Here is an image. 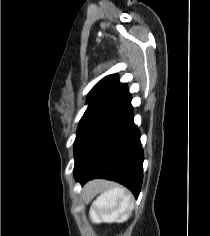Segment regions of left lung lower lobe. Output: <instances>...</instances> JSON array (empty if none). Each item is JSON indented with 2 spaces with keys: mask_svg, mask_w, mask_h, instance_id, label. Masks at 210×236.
Returning a JSON list of instances; mask_svg holds the SVG:
<instances>
[{
  "mask_svg": "<svg viewBox=\"0 0 210 236\" xmlns=\"http://www.w3.org/2000/svg\"><path fill=\"white\" fill-rule=\"evenodd\" d=\"M74 159V176L82 185L93 178L110 179L138 197L144 157L128 89L78 134Z\"/></svg>",
  "mask_w": 210,
  "mask_h": 236,
  "instance_id": "0a47b994",
  "label": "left lung lower lobe"
}]
</instances>
